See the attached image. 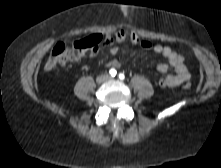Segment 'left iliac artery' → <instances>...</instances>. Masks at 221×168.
Masks as SVG:
<instances>
[{"label":"left iliac artery","instance_id":"obj_1","mask_svg":"<svg viewBox=\"0 0 221 168\" xmlns=\"http://www.w3.org/2000/svg\"><path fill=\"white\" fill-rule=\"evenodd\" d=\"M119 79H120V80H124V79H125V75H124L123 73H120V74H119Z\"/></svg>","mask_w":221,"mask_h":168}]
</instances>
